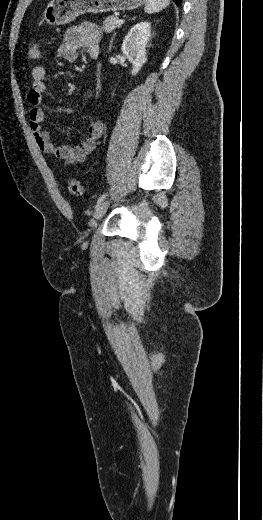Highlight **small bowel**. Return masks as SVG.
Returning a JSON list of instances; mask_svg holds the SVG:
<instances>
[{
	"instance_id": "small-bowel-1",
	"label": "small bowel",
	"mask_w": 263,
	"mask_h": 520,
	"mask_svg": "<svg viewBox=\"0 0 263 520\" xmlns=\"http://www.w3.org/2000/svg\"><path fill=\"white\" fill-rule=\"evenodd\" d=\"M100 38L101 32L99 28L92 23L71 27L65 32L57 54L61 59L73 62L77 60L79 51L85 49L90 57L96 58L99 55ZM32 78V87L27 94V101L31 106L29 126L39 149L67 165L83 162L94 152L96 142L103 132V123L99 120L92 123L88 127L86 138L78 145H55L50 133L43 129L42 126L45 119V113L41 105L47 89L46 67L43 65L35 66L32 69Z\"/></svg>"
}]
</instances>
